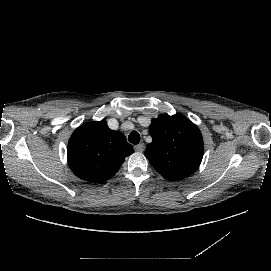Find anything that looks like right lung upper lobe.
I'll return each mask as SVG.
<instances>
[{"mask_svg": "<svg viewBox=\"0 0 271 271\" xmlns=\"http://www.w3.org/2000/svg\"><path fill=\"white\" fill-rule=\"evenodd\" d=\"M134 152L124 134L113 131L105 120L78 127L69 139L67 158L73 173L91 183L107 181Z\"/></svg>", "mask_w": 271, "mask_h": 271, "instance_id": "obj_1", "label": "right lung upper lobe"}]
</instances>
